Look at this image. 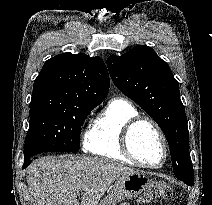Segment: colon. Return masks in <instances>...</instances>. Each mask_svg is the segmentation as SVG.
I'll return each mask as SVG.
<instances>
[{
  "label": "colon",
  "mask_w": 212,
  "mask_h": 205,
  "mask_svg": "<svg viewBox=\"0 0 212 205\" xmlns=\"http://www.w3.org/2000/svg\"><path fill=\"white\" fill-rule=\"evenodd\" d=\"M173 197L172 188L163 182H153L139 199L140 203H149L155 200H170ZM122 205H131L124 203Z\"/></svg>",
  "instance_id": "1"
}]
</instances>
